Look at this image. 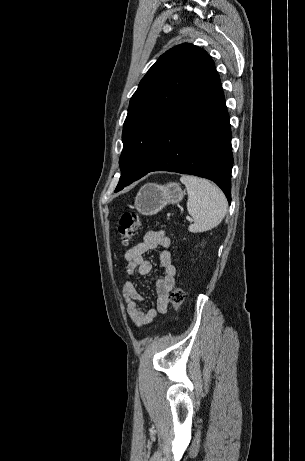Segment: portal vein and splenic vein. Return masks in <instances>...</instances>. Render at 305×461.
Here are the masks:
<instances>
[{
	"label": "portal vein and splenic vein",
	"instance_id": "portal-vein-and-splenic-vein-1",
	"mask_svg": "<svg viewBox=\"0 0 305 461\" xmlns=\"http://www.w3.org/2000/svg\"><path fill=\"white\" fill-rule=\"evenodd\" d=\"M186 219H187L188 221H192V220H193V219H192L191 217H189V216L186 217Z\"/></svg>",
	"mask_w": 305,
	"mask_h": 461
}]
</instances>
